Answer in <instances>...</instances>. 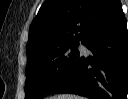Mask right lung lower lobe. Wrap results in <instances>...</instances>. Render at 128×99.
<instances>
[{
    "mask_svg": "<svg viewBox=\"0 0 128 99\" xmlns=\"http://www.w3.org/2000/svg\"><path fill=\"white\" fill-rule=\"evenodd\" d=\"M93 56L78 64L54 89L91 99H126L128 92V32L122 6L82 41Z\"/></svg>",
    "mask_w": 128,
    "mask_h": 99,
    "instance_id": "1",
    "label": "right lung lower lobe"
}]
</instances>
